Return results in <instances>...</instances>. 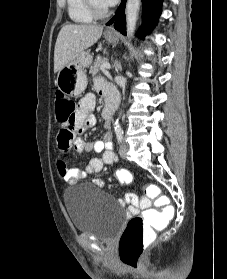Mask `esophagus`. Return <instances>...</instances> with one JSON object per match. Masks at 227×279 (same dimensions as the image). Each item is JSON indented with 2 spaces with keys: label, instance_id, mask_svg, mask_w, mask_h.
<instances>
[{
  "label": "esophagus",
  "instance_id": "obj_1",
  "mask_svg": "<svg viewBox=\"0 0 227 279\" xmlns=\"http://www.w3.org/2000/svg\"><path fill=\"white\" fill-rule=\"evenodd\" d=\"M107 31H108V32H114L113 27H112V26L108 27V28H107Z\"/></svg>",
  "mask_w": 227,
  "mask_h": 279
}]
</instances>
